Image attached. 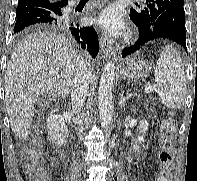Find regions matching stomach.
Listing matches in <instances>:
<instances>
[{
	"mask_svg": "<svg viewBox=\"0 0 197 181\" xmlns=\"http://www.w3.org/2000/svg\"><path fill=\"white\" fill-rule=\"evenodd\" d=\"M151 63L147 60L131 57L124 61L119 70L120 76L125 80H145L151 72Z\"/></svg>",
	"mask_w": 197,
	"mask_h": 181,
	"instance_id": "obj_1",
	"label": "stomach"
}]
</instances>
